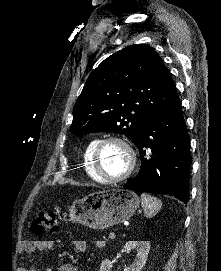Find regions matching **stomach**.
Listing matches in <instances>:
<instances>
[{"label": "stomach", "mask_w": 221, "mask_h": 271, "mask_svg": "<svg viewBox=\"0 0 221 271\" xmlns=\"http://www.w3.org/2000/svg\"><path fill=\"white\" fill-rule=\"evenodd\" d=\"M139 205L140 199L135 191L116 187L105 193L95 191L81 201L72 202L68 212L77 223L93 229H107L129 219Z\"/></svg>", "instance_id": "0dacf381"}]
</instances>
